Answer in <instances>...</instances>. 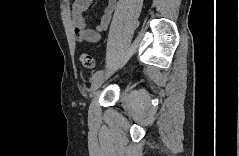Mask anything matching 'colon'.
Instances as JSON below:
<instances>
[{"mask_svg": "<svg viewBox=\"0 0 239 156\" xmlns=\"http://www.w3.org/2000/svg\"><path fill=\"white\" fill-rule=\"evenodd\" d=\"M80 61H81L82 65L88 69H94L96 66L94 58L87 53L81 54Z\"/></svg>", "mask_w": 239, "mask_h": 156, "instance_id": "obj_1", "label": "colon"}]
</instances>
